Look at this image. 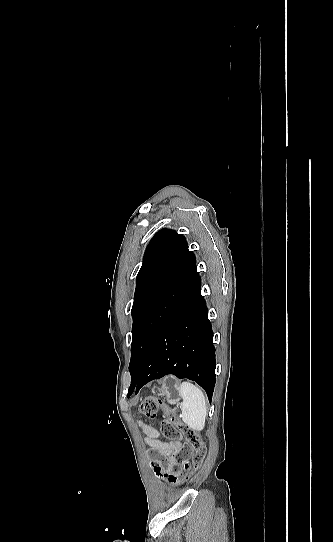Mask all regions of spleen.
I'll return each mask as SVG.
<instances>
[{
    "label": "spleen",
    "instance_id": "obj_1",
    "mask_svg": "<svg viewBox=\"0 0 333 542\" xmlns=\"http://www.w3.org/2000/svg\"><path fill=\"white\" fill-rule=\"evenodd\" d=\"M179 392L183 398L182 422L194 432H202L207 416L206 400L202 390L190 382H182Z\"/></svg>",
    "mask_w": 333,
    "mask_h": 542
}]
</instances>
